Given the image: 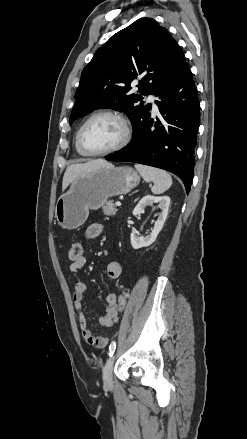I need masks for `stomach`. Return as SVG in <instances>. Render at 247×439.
Returning a JSON list of instances; mask_svg holds the SVG:
<instances>
[{"instance_id": "0dacf381", "label": "stomach", "mask_w": 247, "mask_h": 439, "mask_svg": "<svg viewBox=\"0 0 247 439\" xmlns=\"http://www.w3.org/2000/svg\"><path fill=\"white\" fill-rule=\"evenodd\" d=\"M139 182L137 171L128 166L111 165L77 177L57 200L58 224L68 230L78 228L86 221L89 210L99 209L110 197L128 193Z\"/></svg>"}]
</instances>
